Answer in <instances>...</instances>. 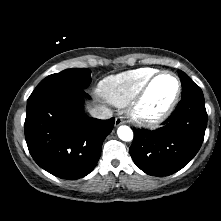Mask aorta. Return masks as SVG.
<instances>
[{"mask_svg": "<svg viewBox=\"0 0 221 221\" xmlns=\"http://www.w3.org/2000/svg\"><path fill=\"white\" fill-rule=\"evenodd\" d=\"M117 134L122 141H131L133 139V131L130 127L125 125L118 128Z\"/></svg>", "mask_w": 221, "mask_h": 221, "instance_id": "obj_1", "label": "aorta"}]
</instances>
